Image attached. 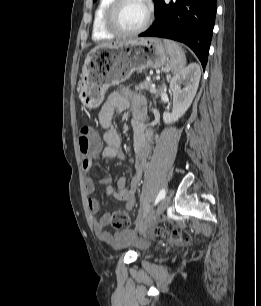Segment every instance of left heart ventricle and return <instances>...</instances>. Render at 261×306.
I'll use <instances>...</instances> for the list:
<instances>
[{"mask_svg":"<svg viewBox=\"0 0 261 306\" xmlns=\"http://www.w3.org/2000/svg\"><path fill=\"white\" fill-rule=\"evenodd\" d=\"M146 6L142 0H125L116 14L119 26L125 30H134L145 20Z\"/></svg>","mask_w":261,"mask_h":306,"instance_id":"left-heart-ventricle-1","label":"left heart ventricle"}]
</instances>
